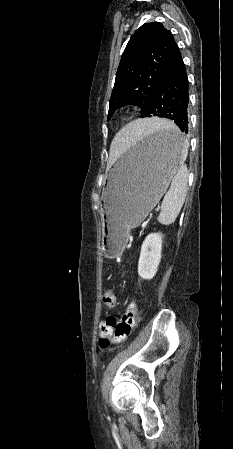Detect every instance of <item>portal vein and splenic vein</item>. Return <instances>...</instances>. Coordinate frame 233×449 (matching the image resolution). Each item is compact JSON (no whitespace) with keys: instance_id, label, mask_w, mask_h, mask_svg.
I'll return each instance as SVG.
<instances>
[{"instance_id":"obj_1","label":"portal vein and splenic vein","mask_w":233,"mask_h":449,"mask_svg":"<svg viewBox=\"0 0 233 449\" xmlns=\"http://www.w3.org/2000/svg\"><path fill=\"white\" fill-rule=\"evenodd\" d=\"M156 210H157V211H159V210H160V208L158 207V208H156Z\"/></svg>"}]
</instances>
